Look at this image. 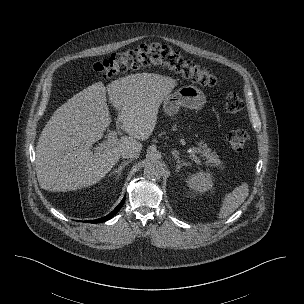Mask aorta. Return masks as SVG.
<instances>
[{
    "label": "aorta",
    "mask_w": 304,
    "mask_h": 304,
    "mask_svg": "<svg viewBox=\"0 0 304 304\" xmlns=\"http://www.w3.org/2000/svg\"><path fill=\"white\" fill-rule=\"evenodd\" d=\"M164 173V167L158 160H149L144 167V174L149 179H159Z\"/></svg>",
    "instance_id": "762f6f07"
}]
</instances>
